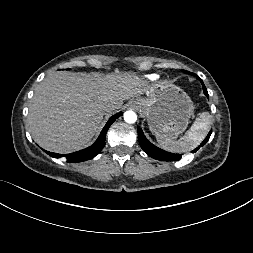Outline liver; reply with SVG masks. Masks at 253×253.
I'll list each match as a JSON object with an SVG mask.
<instances>
[{
  "mask_svg": "<svg viewBox=\"0 0 253 253\" xmlns=\"http://www.w3.org/2000/svg\"><path fill=\"white\" fill-rule=\"evenodd\" d=\"M148 92L146 82L134 74L58 71L35 91L28 114L29 131L42 148L71 153L91 141L105 114L120 109L124 100ZM109 104L114 109L106 112Z\"/></svg>",
  "mask_w": 253,
  "mask_h": 253,
  "instance_id": "obj_1",
  "label": "liver"
}]
</instances>
